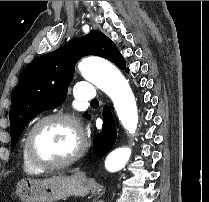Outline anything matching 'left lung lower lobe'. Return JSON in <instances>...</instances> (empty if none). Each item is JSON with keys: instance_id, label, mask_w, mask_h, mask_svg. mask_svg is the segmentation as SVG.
<instances>
[{"instance_id": "obj_1", "label": "left lung lower lobe", "mask_w": 209, "mask_h": 202, "mask_svg": "<svg viewBox=\"0 0 209 202\" xmlns=\"http://www.w3.org/2000/svg\"><path fill=\"white\" fill-rule=\"evenodd\" d=\"M102 115L104 120L102 132L97 134L93 140V151L98 157L105 156L112 149L117 138L114 117L107 105L103 107Z\"/></svg>"}]
</instances>
